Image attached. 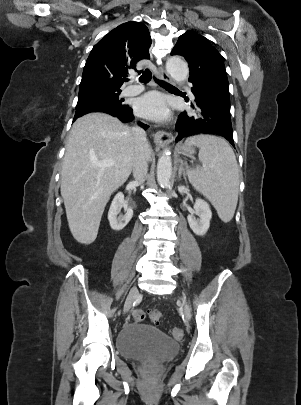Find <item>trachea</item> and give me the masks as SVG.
<instances>
[{"mask_svg": "<svg viewBox=\"0 0 301 405\" xmlns=\"http://www.w3.org/2000/svg\"><path fill=\"white\" fill-rule=\"evenodd\" d=\"M151 78H152V73L149 70H146L140 76L139 81L142 82V83H147V82H149L151 80ZM155 81L165 89L177 90L176 87L172 86L171 84L167 83L166 81L159 80V79H155Z\"/></svg>", "mask_w": 301, "mask_h": 405, "instance_id": "3493384b", "label": "trachea"}]
</instances>
